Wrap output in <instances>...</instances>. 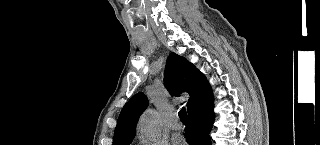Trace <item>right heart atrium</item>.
I'll use <instances>...</instances> for the list:
<instances>
[{
    "mask_svg": "<svg viewBox=\"0 0 320 145\" xmlns=\"http://www.w3.org/2000/svg\"><path fill=\"white\" fill-rule=\"evenodd\" d=\"M138 145H163V141H151L143 136H139Z\"/></svg>",
    "mask_w": 320,
    "mask_h": 145,
    "instance_id": "1",
    "label": "right heart atrium"
}]
</instances>
